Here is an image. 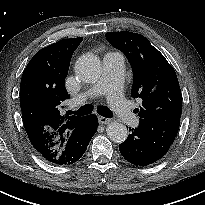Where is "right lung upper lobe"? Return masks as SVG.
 <instances>
[{"label":"right lung upper lobe","instance_id":"obj_1","mask_svg":"<svg viewBox=\"0 0 205 205\" xmlns=\"http://www.w3.org/2000/svg\"><path fill=\"white\" fill-rule=\"evenodd\" d=\"M83 38L63 39L38 51L26 66L20 86L23 124L34 148L55 163L70 133L86 117L60 113L69 98L64 81L73 52Z\"/></svg>","mask_w":205,"mask_h":205}]
</instances>
